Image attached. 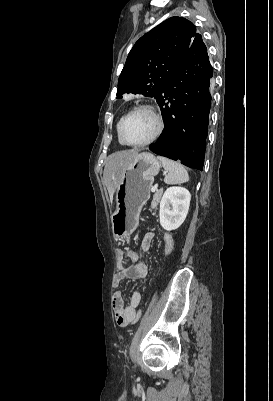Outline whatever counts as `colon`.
I'll return each instance as SVG.
<instances>
[{
  "instance_id": "colon-1",
  "label": "colon",
  "mask_w": 273,
  "mask_h": 401,
  "mask_svg": "<svg viewBox=\"0 0 273 401\" xmlns=\"http://www.w3.org/2000/svg\"><path fill=\"white\" fill-rule=\"evenodd\" d=\"M140 279H141L142 281H145V280L147 279V276H146L145 274H142V275L140 276Z\"/></svg>"
}]
</instances>
